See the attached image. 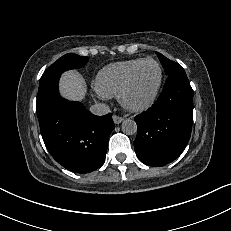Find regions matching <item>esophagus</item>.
<instances>
[{
  "label": "esophagus",
  "mask_w": 231,
  "mask_h": 231,
  "mask_svg": "<svg viewBox=\"0 0 231 231\" xmlns=\"http://www.w3.org/2000/svg\"><path fill=\"white\" fill-rule=\"evenodd\" d=\"M124 120V117L118 116V115H113V121L115 124H120Z\"/></svg>",
  "instance_id": "esophagus-1"
}]
</instances>
